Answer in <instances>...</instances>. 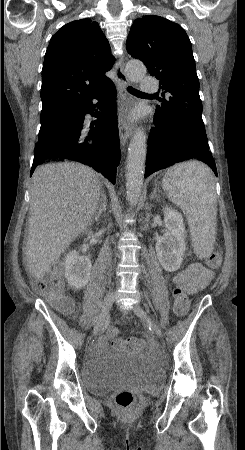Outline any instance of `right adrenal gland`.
<instances>
[{"mask_svg":"<svg viewBox=\"0 0 245 450\" xmlns=\"http://www.w3.org/2000/svg\"><path fill=\"white\" fill-rule=\"evenodd\" d=\"M107 210V197L104 193V191L101 192V199L99 201V208L98 212L95 215V220L98 221V219L102 216L104 212Z\"/></svg>","mask_w":245,"mask_h":450,"instance_id":"2a0ac1e0","label":"right adrenal gland"}]
</instances>
